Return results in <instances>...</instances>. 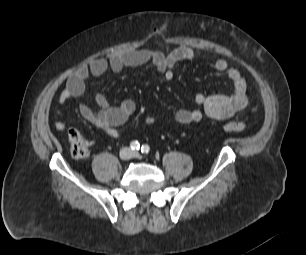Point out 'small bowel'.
Instances as JSON below:
<instances>
[{
    "instance_id": "c3829d8e",
    "label": "small bowel",
    "mask_w": 306,
    "mask_h": 255,
    "mask_svg": "<svg viewBox=\"0 0 306 255\" xmlns=\"http://www.w3.org/2000/svg\"><path fill=\"white\" fill-rule=\"evenodd\" d=\"M196 56L195 51L188 46H180L169 53L152 49L130 50L123 53L112 54L108 58H96L88 65L78 67L68 78L65 88L59 96V103L64 105L71 98H79L85 92V83L90 76L99 77L108 70L119 72L124 68L151 65L154 67L162 82L173 78L175 67L183 61L192 60ZM214 69L226 75L232 83V91L229 94L205 95L198 93L194 96L197 105L192 109H180L175 113V120L182 125H190L199 122L203 116L215 120H227L244 109L249 101L247 82L240 71L229 67L228 62L217 59ZM96 106L81 103L79 111L82 117L89 123L105 132L112 138L120 135L118 127L124 124L135 112L136 106L131 99H125L118 105L111 106L103 94L95 97ZM61 115V111L58 112ZM147 125L155 123V119L149 116L145 119ZM57 130H64L66 123L58 120L55 123Z\"/></svg>"
}]
</instances>
